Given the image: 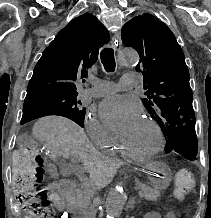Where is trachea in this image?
Wrapping results in <instances>:
<instances>
[{"mask_svg":"<svg viewBox=\"0 0 211 218\" xmlns=\"http://www.w3.org/2000/svg\"><path fill=\"white\" fill-rule=\"evenodd\" d=\"M100 58L106 72L110 73L115 71V57L112 48L107 47L103 49Z\"/></svg>","mask_w":211,"mask_h":218,"instance_id":"1","label":"trachea"}]
</instances>
